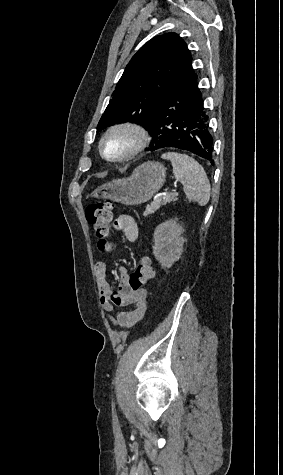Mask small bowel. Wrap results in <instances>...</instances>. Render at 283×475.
<instances>
[{"mask_svg": "<svg viewBox=\"0 0 283 475\" xmlns=\"http://www.w3.org/2000/svg\"><path fill=\"white\" fill-rule=\"evenodd\" d=\"M114 231H122L124 239L128 243H134L138 239L139 229L137 222L130 215H120L116 218L114 225L109 227ZM115 247L114 243L107 245V251ZM129 270L119 267L120 285L118 290H114L107 281V264L98 261L94 265V275L98 296L103 309L109 313L114 312L115 317L107 315V319L113 327L127 329L140 322L149 306V292L137 291L135 296H128L126 293L130 276Z\"/></svg>", "mask_w": 283, "mask_h": 475, "instance_id": "1", "label": "small bowel"}]
</instances>
